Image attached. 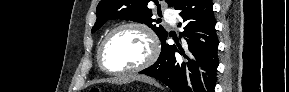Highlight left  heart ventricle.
<instances>
[{
	"label": "left heart ventricle",
	"mask_w": 289,
	"mask_h": 92,
	"mask_svg": "<svg viewBox=\"0 0 289 92\" xmlns=\"http://www.w3.org/2000/svg\"><path fill=\"white\" fill-rule=\"evenodd\" d=\"M150 51L146 36L138 29L117 32L104 51V64L110 70H124L142 63Z\"/></svg>",
	"instance_id": "1"
}]
</instances>
